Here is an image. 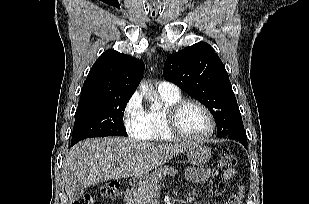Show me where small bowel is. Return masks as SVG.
<instances>
[{"instance_id":"obj_1","label":"small bowel","mask_w":309,"mask_h":204,"mask_svg":"<svg viewBox=\"0 0 309 204\" xmlns=\"http://www.w3.org/2000/svg\"><path fill=\"white\" fill-rule=\"evenodd\" d=\"M237 174L238 171L236 168H228L223 172H219L218 170L212 168H196L189 169L187 172L188 178L193 182H203L215 177H219L222 182H226L234 179ZM244 194V188L240 186L238 193L227 199L225 204H241Z\"/></svg>"}]
</instances>
